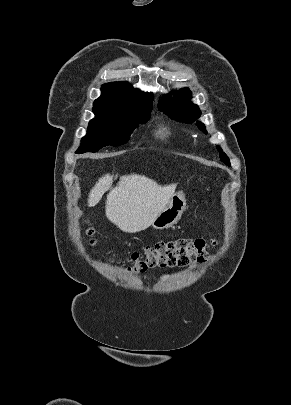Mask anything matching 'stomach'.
I'll use <instances>...</instances> for the list:
<instances>
[{
  "label": "stomach",
  "mask_w": 291,
  "mask_h": 405,
  "mask_svg": "<svg viewBox=\"0 0 291 405\" xmlns=\"http://www.w3.org/2000/svg\"><path fill=\"white\" fill-rule=\"evenodd\" d=\"M185 209V194L183 192L173 194L165 209L153 221V228L164 229L171 227L181 218Z\"/></svg>",
  "instance_id": "stomach-1"
}]
</instances>
